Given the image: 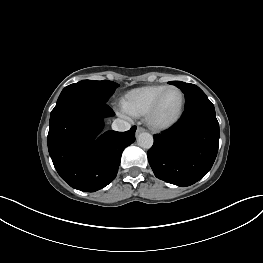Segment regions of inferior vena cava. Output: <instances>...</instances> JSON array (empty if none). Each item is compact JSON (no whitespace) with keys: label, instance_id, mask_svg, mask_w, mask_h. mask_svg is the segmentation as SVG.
I'll return each instance as SVG.
<instances>
[{"label":"inferior vena cava","instance_id":"1","mask_svg":"<svg viewBox=\"0 0 263 263\" xmlns=\"http://www.w3.org/2000/svg\"><path fill=\"white\" fill-rule=\"evenodd\" d=\"M130 127L131 125L127 121L119 118L115 119L112 123V129L119 132L127 131Z\"/></svg>","mask_w":263,"mask_h":263}]
</instances>
